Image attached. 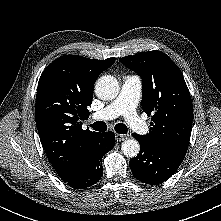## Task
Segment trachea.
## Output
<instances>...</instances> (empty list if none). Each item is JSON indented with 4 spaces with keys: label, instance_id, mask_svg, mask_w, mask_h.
Listing matches in <instances>:
<instances>
[{
    "label": "trachea",
    "instance_id": "obj_1",
    "mask_svg": "<svg viewBox=\"0 0 221 221\" xmlns=\"http://www.w3.org/2000/svg\"><path fill=\"white\" fill-rule=\"evenodd\" d=\"M90 127L99 132H105L107 130V125L103 121H97L94 124H91ZM115 131L119 134H126L128 132V128L126 125L118 123L115 125Z\"/></svg>",
    "mask_w": 221,
    "mask_h": 221
}]
</instances>
